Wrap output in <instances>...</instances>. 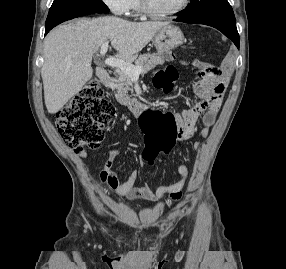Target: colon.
<instances>
[{"mask_svg": "<svg viewBox=\"0 0 286 269\" xmlns=\"http://www.w3.org/2000/svg\"><path fill=\"white\" fill-rule=\"evenodd\" d=\"M173 49H157L162 62H177ZM194 70H198V82L193 88L199 91L220 95L222 79L220 70H226V65H211L205 61L191 62ZM177 77L174 66L156 73L154 82L157 87L171 91L173 82ZM114 108L107 100L102 86L89 82L77 96L56 114V126L62 139L76 153H81L84 147L97 148L104 138V128L113 116ZM139 128L143 131L145 142L141 155H145L149 164L154 159H165L181 139L174 121L173 111H162V106H149L138 116Z\"/></svg>", "mask_w": 286, "mask_h": 269, "instance_id": "obj_1", "label": "colon"}]
</instances>
